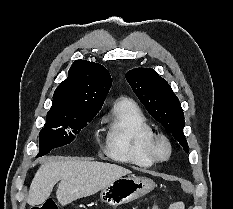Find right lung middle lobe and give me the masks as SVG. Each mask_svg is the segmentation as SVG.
I'll use <instances>...</instances> for the list:
<instances>
[{"label":"right lung middle lobe","mask_w":233,"mask_h":209,"mask_svg":"<svg viewBox=\"0 0 233 209\" xmlns=\"http://www.w3.org/2000/svg\"><path fill=\"white\" fill-rule=\"evenodd\" d=\"M99 108H79L56 115H47L45 127L40 131V150L37 155H46L53 148L71 143L75 135L98 113Z\"/></svg>","instance_id":"right-lung-middle-lobe-1"}]
</instances>
